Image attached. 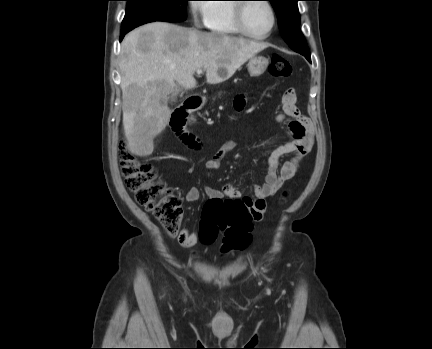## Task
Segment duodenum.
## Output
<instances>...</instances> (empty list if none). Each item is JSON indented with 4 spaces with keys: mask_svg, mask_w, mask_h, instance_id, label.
<instances>
[{
    "mask_svg": "<svg viewBox=\"0 0 432 349\" xmlns=\"http://www.w3.org/2000/svg\"><path fill=\"white\" fill-rule=\"evenodd\" d=\"M201 97H191L185 100L180 107L173 113L170 126L176 135L185 143L190 146L197 147L195 137L185 131L188 124V119L193 112H195L201 105Z\"/></svg>",
    "mask_w": 432,
    "mask_h": 349,
    "instance_id": "1",
    "label": "duodenum"
}]
</instances>
